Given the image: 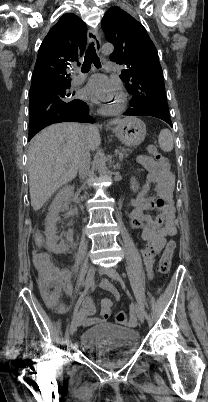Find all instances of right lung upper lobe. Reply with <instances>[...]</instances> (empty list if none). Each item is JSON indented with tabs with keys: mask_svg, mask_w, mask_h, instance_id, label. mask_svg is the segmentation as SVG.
<instances>
[{
	"mask_svg": "<svg viewBox=\"0 0 208 402\" xmlns=\"http://www.w3.org/2000/svg\"><path fill=\"white\" fill-rule=\"evenodd\" d=\"M87 37L86 24L67 13L50 29L38 52L30 90L42 83L70 79L67 71L82 56Z\"/></svg>",
	"mask_w": 208,
	"mask_h": 402,
	"instance_id": "obj_1",
	"label": "right lung upper lobe"
}]
</instances>
